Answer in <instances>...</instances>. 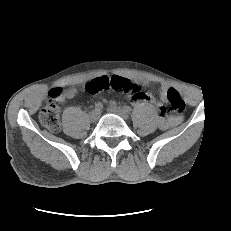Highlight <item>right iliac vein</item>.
<instances>
[{
    "mask_svg": "<svg viewBox=\"0 0 231 231\" xmlns=\"http://www.w3.org/2000/svg\"><path fill=\"white\" fill-rule=\"evenodd\" d=\"M99 115H100L99 111L92 110L89 114L90 120L92 122H96L99 118Z\"/></svg>",
    "mask_w": 231,
    "mask_h": 231,
    "instance_id": "63e3f726",
    "label": "right iliac vein"
}]
</instances>
